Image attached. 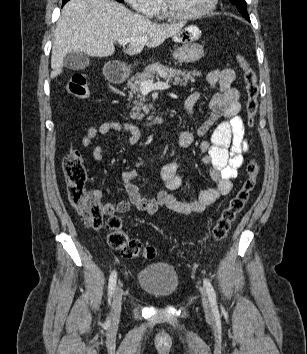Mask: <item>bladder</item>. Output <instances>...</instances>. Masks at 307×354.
Listing matches in <instances>:
<instances>
[{
  "label": "bladder",
  "mask_w": 307,
  "mask_h": 354,
  "mask_svg": "<svg viewBox=\"0 0 307 354\" xmlns=\"http://www.w3.org/2000/svg\"><path fill=\"white\" fill-rule=\"evenodd\" d=\"M138 284L147 293L155 297H169L179 287V275L169 263L150 264L138 273Z\"/></svg>",
  "instance_id": "31cf9c89"
}]
</instances>
